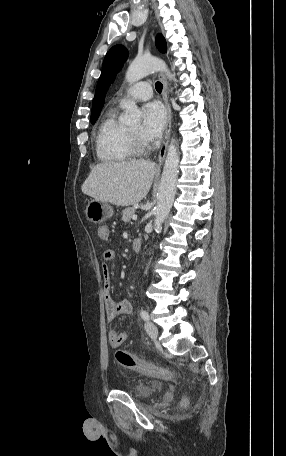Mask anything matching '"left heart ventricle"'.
Here are the masks:
<instances>
[{
  "mask_svg": "<svg viewBox=\"0 0 286 456\" xmlns=\"http://www.w3.org/2000/svg\"><path fill=\"white\" fill-rule=\"evenodd\" d=\"M130 131L138 136H140V128L139 127H133L130 128Z\"/></svg>",
  "mask_w": 286,
  "mask_h": 456,
  "instance_id": "b2bd125f",
  "label": "left heart ventricle"
}]
</instances>
